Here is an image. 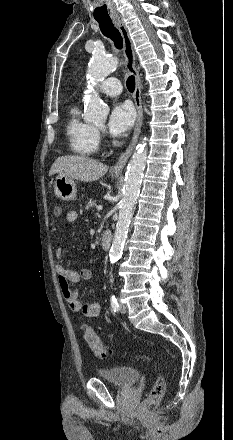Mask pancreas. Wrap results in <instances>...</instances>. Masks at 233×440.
<instances>
[{
  "label": "pancreas",
  "instance_id": "cf45deb5",
  "mask_svg": "<svg viewBox=\"0 0 233 440\" xmlns=\"http://www.w3.org/2000/svg\"><path fill=\"white\" fill-rule=\"evenodd\" d=\"M94 206H96V201L90 200L86 205V210L93 209Z\"/></svg>",
  "mask_w": 233,
  "mask_h": 440
}]
</instances>
